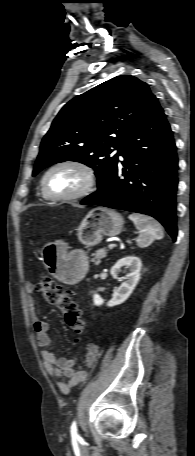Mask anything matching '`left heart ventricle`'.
Wrapping results in <instances>:
<instances>
[{
	"label": "left heart ventricle",
	"mask_w": 195,
	"mask_h": 456,
	"mask_svg": "<svg viewBox=\"0 0 195 456\" xmlns=\"http://www.w3.org/2000/svg\"><path fill=\"white\" fill-rule=\"evenodd\" d=\"M85 182L81 170L71 166L53 170L47 177L48 190L54 195H69L78 191Z\"/></svg>",
	"instance_id": "b2bd125f"
}]
</instances>
